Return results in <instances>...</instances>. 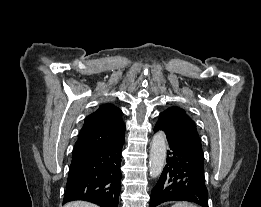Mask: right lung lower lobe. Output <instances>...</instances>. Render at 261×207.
I'll return each mask as SVG.
<instances>
[{
    "instance_id": "98d812e1",
    "label": "right lung lower lobe",
    "mask_w": 261,
    "mask_h": 207,
    "mask_svg": "<svg viewBox=\"0 0 261 207\" xmlns=\"http://www.w3.org/2000/svg\"><path fill=\"white\" fill-rule=\"evenodd\" d=\"M124 139L72 156L63 204L84 200L101 207H118L121 189V150Z\"/></svg>"
}]
</instances>
